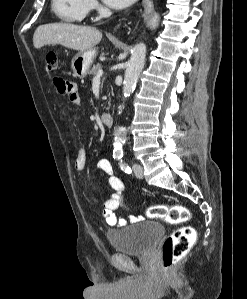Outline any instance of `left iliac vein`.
Segmentation results:
<instances>
[{
	"mask_svg": "<svg viewBox=\"0 0 247 299\" xmlns=\"http://www.w3.org/2000/svg\"><path fill=\"white\" fill-rule=\"evenodd\" d=\"M133 170H134L135 175L138 178H140V179L143 178V167L140 164H134Z\"/></svg>",
	"mask_w": 247,
	"mask_h": 299,
	"instance_id": "4c4485c4",
	"label": "left iliac vein"
}]
</instances>
